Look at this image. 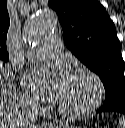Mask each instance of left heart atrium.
<instances>
[{
  "label": "left heart atrium",
  "instance_id": "obj_1",
  "mask_svg": "<svg viewBox=\"0 0 125 128\" xmlns=\"http://www.w3.org/2000/svg\"><path fill=\"white\" fill-rule=\"evenodd\" d=\"M69 73L62 64L37 66L23 75L24 87L36 98L59 103L65 92Z\"/></svg>",
  "mask_w": 125,
  "mask_h": 128
}]
</instances>
